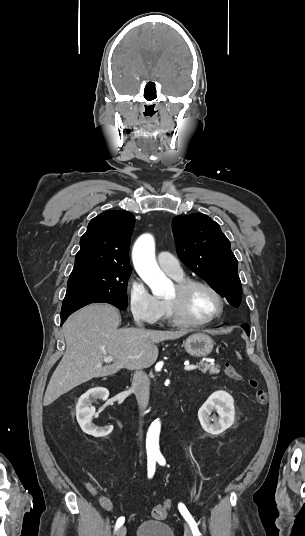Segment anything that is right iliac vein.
Masks as SVG:
<instances>
[{
    "label": "right iliac vein",
    "instance_id": "right-iliac-vein-1",
    "mask_svg": "<svg viewBox=\"0 0 305 536\" xmlns=\"http://www.w3.org/2000/svg\"><path fill=\"white\" fill-rule=\"evenodd\" d=\"M116 536H126V528L125 526H121L119 530L117 531Z\"/></svg>",
    "mask_w": 305,
    "mask_h": 536
}]
</instances>
